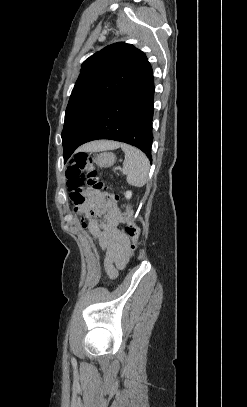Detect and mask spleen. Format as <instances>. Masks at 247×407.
Returning a JSON list of instances; mask_svg holds the SVG:
<instances>
[{
    "mask_svg": "<svg viewBox=\"0 0 247 407\" xmlns=\"http://www.w3.org/2000/svg\"><path fill=\"white\" fill-rule=\"evenodd\" d=\"M121 148L125 153L123 172L127 176L128 184L136 187L144 186L148 180L150 167L148 158L136 147L122 144Z\"/></svg>",
    "mask_w": 247,
    "mask_h": 407,
    "instance_id": "obj_1",
    "label": "spleen"
}]
</instances>
